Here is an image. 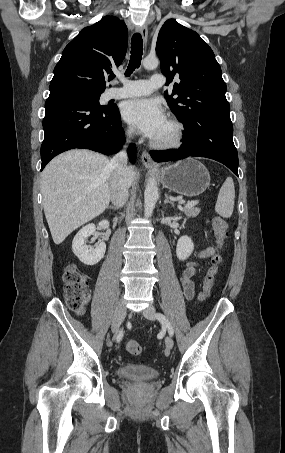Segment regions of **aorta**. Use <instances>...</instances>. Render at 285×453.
<instances>
[{"label":"aorta","instance_id":"obj_1","mask_svg":"<svg viewBox=\"0 0 285 453\" xmlns=\"http://www.w3.org/2000/svg\"><path fill=\"white\" fill-rule=\"evenodd\" d=\"M159 60L156 57L147 56L143 60L145 69L151 70L158 67ZM158 199L157 182L154 178H150L147 182L144 192V215L149 217L153 213V209Z\"/></svg>","mask_w":285,"mask_h":453}]
</instances>
